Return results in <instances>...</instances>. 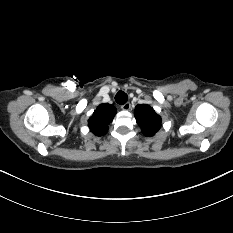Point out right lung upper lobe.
I'll return each instance as SVG.
<instances>
[{"label":"right lung upper lobe","instance_id":"obj_1","mask_svg":"<svg viewBox=\"0 0 233 233\" xmlns=\"http://www.w3.org/2000/svg\"><path fill=\"white\" fill-rule=\"evenodd\" d=\"M117 110L108 103L101 104L88 120L90 131L96 136H102L108 130V124L112 122Z\"/></svg>","mask_w":233,"mask_h":233}]
</instances>
